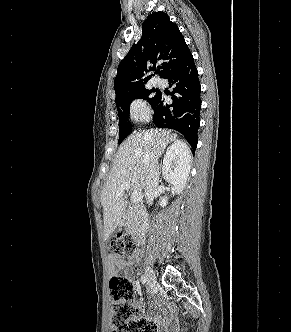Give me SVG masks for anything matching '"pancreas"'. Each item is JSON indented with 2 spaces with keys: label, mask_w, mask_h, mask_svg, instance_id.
Segmentation results:
<instances>
[{
  "label": "pancreas",
  "mask_w": 291,
  "mask_h": 332,
  "mask_svg": "<svg viewBox=\"0 0 291 332\" xmlns=\"http://www.w3.org/2000/svg\"><path fill=\"white\" fill-rule=\"evenodd\" d=\"M140 223H141L140 214L135 210L129 211L125 222L126 231L130 233L134 232L138 228Z\"/></svg>",
  "instance_id": "pancreas-1"
}]
</instances>
